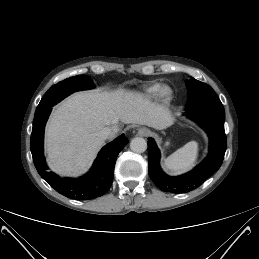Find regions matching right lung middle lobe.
Masks as SVG:
<instances>
[{
  "label": "right lung middle lobe",
  "instance_id": "dd1d6c3e",
  "mask_svg": "<svg viewBox=\"0 0 259 259\" xmlns=\"http://www.w3.org/2000/svg\"><path fill=\"white\" fill-rule=\"evenodd\" d=\"M90 78L85 75H77L67 78L56 85L50 87L37 106L36 112H40L48 107H52L75 91L93 88Z\"/></svg>",
  "mask_w": 259,
  "mask_h": 259
}]
</instances>
